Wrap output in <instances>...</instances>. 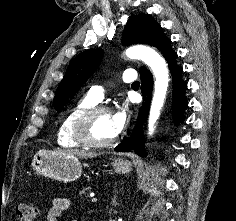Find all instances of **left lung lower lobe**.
<instances>
[{
	"mask_svg": "<svg viewBox=\"0 0 236 221\" xmlns=\"http://www.w3.org/2000/svg\"><path fill=\"white\" fill-rule=\"evenodd\" d=\"M153 46L162 52L168 62L173 79V116L174 119L182 118V111L187 106V101L184 97L187 85L181 78V74L183 72L182 67L176 64L177 53L172 50L170 39L166 38L164 35L157 39ZM140 78L142 80L141 92L145 102L139 110L135 134L133 139H126L123 143L118 145L115 150L120 152H130L132 149H134L137 154L144 156V143L141 130L143 122L145 121L149 111L151 93L153 89V77L147 68L141 67Z\"/></svg>",
	"mask_w": 236,
	"mask_h": 221,
	"instance_id": "0a47b994",
	"label": "left lung lower lobe"
}]
</instances>
